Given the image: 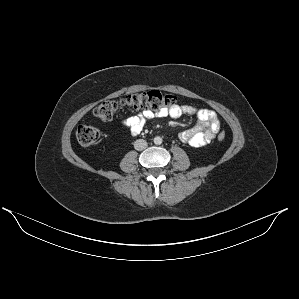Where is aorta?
I'll return each instance as SVG.
<instances>
[{"label":"aorta","instance_id":"obj_1","mask_svg":"<svg viewBox=\"0 0 299 299\" xmlns=\"http://www.w3.org/2000/svg\"><path fill=\"white\" fill-rule=\"evenodd\" d=\"M162 143V138L160 136H156L154 138V144L160 145Z\"/></svg>","mask_w":299,"mask_h":299}]
</instances>
